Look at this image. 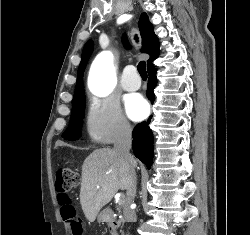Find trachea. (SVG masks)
I'll return each instance as SVG.
<instances>
[{
    "mask_svg": "<svg viewBox=\"0 0 250 235\" xmlns=\"http://www.w3.org/2000/svg\"><path fill=\"white\" fill-rule=\"evenodd\" d=\"M135 39L138 40L137 36L135 37ZM137 70H138L139 74L141 75V77H147L146 63H145V61H141L138 64Z\"/></svg>",
    "mask_w": 250,
    "mask_h": 235,
    "instance_id": "3493384b",
    "label": "trachea"
}]
</instances>
